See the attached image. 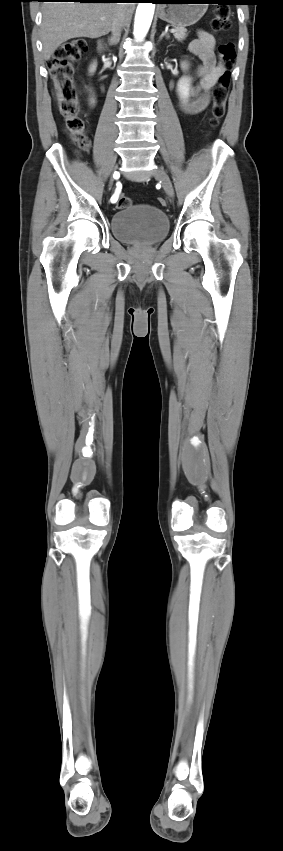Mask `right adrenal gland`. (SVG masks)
<instances>
[{
    "instance_id": "right-adrenal-gland-1",
    "label": "right adrenal gland",
    "mask_w": 283,
    "mask_h": 851,
    "mask_svg": "<svg viewBox=\"0 0 283 851\" xmlns=\"http://www.w3.org/2000/svg\"><path fill=\"white\" fill-rule=\"evenodd\" d=\"M108 42H109V45H111V46H112V45L117 44V43H115V42L113 41V39H112V38H109V39H108Z\"/></svg>"
}]
</instances>
